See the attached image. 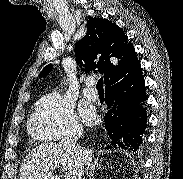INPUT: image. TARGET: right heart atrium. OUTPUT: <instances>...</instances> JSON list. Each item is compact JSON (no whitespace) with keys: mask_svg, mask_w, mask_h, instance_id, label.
Here are the masks:
<instances>
[{"mask_svg":"<svg viewBox=\"0 0 183 179\" xmlns=\"http://www.w3.org/2000/svg\"><path fill=\"white\" fill-rule=\"evenodd\" d=\"M81 130L71 101L56 92L40 99L31 121L33 135L43 140H59Z\"/></svg>","mask_w":183,"mask_h":179,"instance_id":"obj_1","label":"right heart atrium"}]
</instances>
